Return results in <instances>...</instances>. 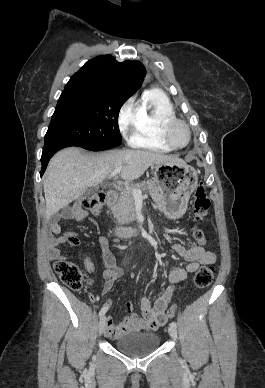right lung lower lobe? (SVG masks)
Here are the masks:
<instances>
[{
    "instance_id": "1",
    "label": "right lung lower lobe",
    "mask_w": 265,
    "mask_h": 388,
    "mask_svg": "<svg viewBox=\"0 0 265 388\" xmlns=\"http://www.w3.org/2000/svg\"><path fill=\"white\" fill-rule=\"evenodd\" d=\"M69 146H76V145L71 144V143H57V144L51 145L49 147H44L43 152H42V157H41V163H42V169L40 172L41 176L44 174L50 158L60 149L65 148V147H69Z\"/></svg>"
}]
</instances>
